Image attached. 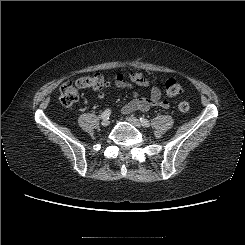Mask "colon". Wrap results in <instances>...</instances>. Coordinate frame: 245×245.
Returning <instances> with one entry per match:
<instances>
[{
    "instance_id": "1",
    "label": "colon",
    "mask_w": 245,
    "mask_h": 245,
    "mask_svg": "<svg viewBox=\"0 0 245 245\" xmlns=\"http://www.w3.org/2000/svg\"><path fill=\"white\" fill-rule=\"evenodd\" d=\"M108 82L106 78L100 74H90L78 78L76 81H67L60 88V102L64 106H70L78 100L79 89L103 90ZM163 90L169 96H179L183 93L182 85L175 79H167L162 83ZM178 108L182 112L190 109L188 101H181Z\"/></svg>"
}]
</instances>
